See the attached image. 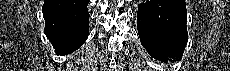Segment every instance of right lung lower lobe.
Returning a JSON list of instances; mask_svg holds the SVG:
<instances>
[{"mask_svg":"<svg viewBox=\"0 0 230 71\" xmlns=\"http://www.w3.org/2000/svg\"><path fill=\"white\" fill-rule=\"evenodd\" d=\"M90 0H45V34L58 55L76 51L88 37Z\"/></svg>","mask_w":230,"mask_h":71,"instance_id":"obj_1","label":"right lung lower lobe"}]
</instances>
